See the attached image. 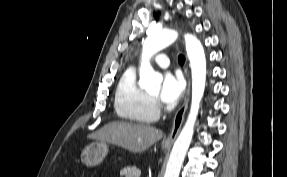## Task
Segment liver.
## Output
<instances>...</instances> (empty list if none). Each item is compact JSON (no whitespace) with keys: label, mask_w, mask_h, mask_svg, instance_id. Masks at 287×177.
I'll list each match as a JSON object with an SVG mask.
<instances>
[{"label":"liver","mask_w":287,"mask_h":177,"mask_svg":"<svg viewBox=\"0 0 287 177\" xmlns=\"http://www.w3.org/2000/svg\"><path fill=\"white\" fill-rule=\"evenodd\" d=\"M162 136L163 133L160 130L149 125L114 121L88 137L120 146L133 153H140L160 140Z\"/></svg>","instance_id":"6515ba94"}]
</instances>
